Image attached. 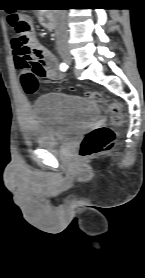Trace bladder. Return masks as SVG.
<instances>
[{
    "label": "bladder",
    "instance_id": "31cf9c89",
    "mask_svg": "<svg viewBox=\"0 0 145 278\" xmlns=\"http://www.w3.org/2000/svg\"><path fill=\"white\" fill-rule=\"evenodd\" d=\"M100 116L90 98L52 92L39 97L33 107V144L55 150L78 137Z\"/></svg>",
    "mask_w": 145,
    "mask_h": 278
}]
</instances>
